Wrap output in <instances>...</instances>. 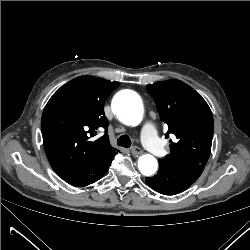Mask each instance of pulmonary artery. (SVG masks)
Masks as SVG:
<instances>
[{"label": "pulmonary artery", "mask_w": 250, "mask_h": 250, "mask_svg": "<svg viewBox=\"0 0 250 250\" xmlns=\"http://www.w3.org/2000/svg\"><path fill=\"white\" fill-rule=\"evenodd\" d=\"M141 137L146 148L154 156L160 157L164 154V147L152 125H146L142 128Z\"/></svg>", "instance_id": "1"}]
</instances>
